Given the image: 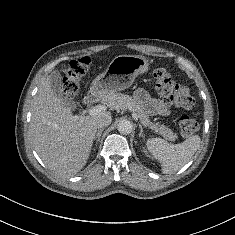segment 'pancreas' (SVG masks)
<instances>
[{"label": "pancreas", "mask_w": 235, "mask_h": 235, "mask_svg": "<svg viewBox=\"0 0 235 235\" xmlns=\"http://www.w3.org/2000/svg\"><path fill=\"white\" fill-rule=\"evenodd\" d=\"M103 102L108 104L110 107L114 109L121 110H134L137 113L140 122L144 126H149L150 129L154 130L156 133L162 135L165 139L169 141H175L177 139V134L174 133L170 128L165 125H161L159 123L154 124L149 120L148 115L144 112V110L137 104V102L130 97L129 95H125L122 93L111 92L103 97Z\"/></svg>", "instance_id": "obj_1"}]
</instances>
